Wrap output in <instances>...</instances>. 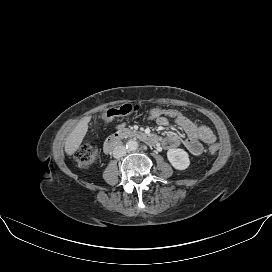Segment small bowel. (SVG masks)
<instances>
[{"label": "small bowel", "instance_id": "c3829d8e", "mask_svg": "<svg viewBox=\"0 0 272 272\" xmlns=\"http://www.w3.org/2000/svg\"><path fill=\"white\" fill-rule=\"evenodd\" d=\"M156 122L159 126L164 127L168 126L171 120L159 118ZM173 122L184 131L186 136L182 139L175 133L167 135L162 139V143L167 149L176 148L183 144L191 154L200 155L203 152V144H212L216 140L210 128L204 125H196L187 117L175 119Z\"/></svg>", "mask_w": 272, "mask_h": 272}]
</instances>
